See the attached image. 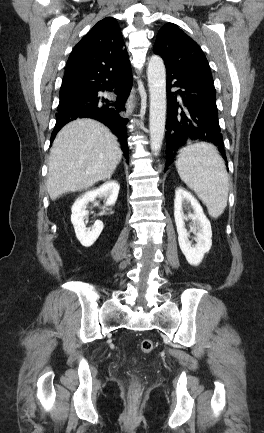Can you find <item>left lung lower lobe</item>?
I'll use <instances>...</instances> for the list:
<instances>
[{
  "mask_svg": "<svg viewBox=\"0 0 264 433\" xmlns=\"http://www.w3.org/2000/svg\"><path fill=\"white\" fill-rule=\"evenodd\" d=\"M166 73L168 109L166 166L173 162L176 150L191 140L215 144L227 161L218 122L213 81L182 75L167 67ZM172 87H178L179 90L171 92Z\"/></svg>",
  "mask_w": 264,
  "mask_h": 433,
  "instance_id": "0a47b994",
  "label": "left lung lower lobe"
}]
</instances>
